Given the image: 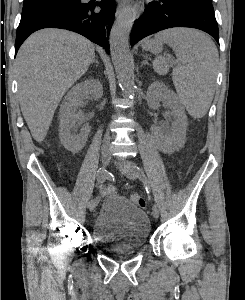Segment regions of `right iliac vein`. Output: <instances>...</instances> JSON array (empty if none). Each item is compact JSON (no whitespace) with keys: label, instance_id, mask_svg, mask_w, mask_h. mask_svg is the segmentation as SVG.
<instances>
[{"label":"right iliac vein","instance_id":"obj_1","mask_svg":"<svg viewBox=\"0 0 245 300\" xmlns=\"http://www.w3.org/2000/svg\"><path fill=\"white\" fill-rule=\"evenodd\" d=\"M101 160H102V164H103L104 167L108 166V164L111 161L110 153L108 151L102 152ZM93 203H94V200H90L87 203V206H88V208H89L90 211H93L96 208V205L93 204Z\"/></svg>","mask_w":245,"mask_h":300}]
</instances>
